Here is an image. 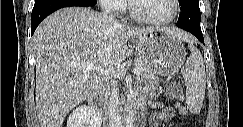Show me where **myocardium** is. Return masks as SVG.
<instances>
[{
  "label": "myocardium",
  "instance_id": "obj_1",
  "mask_svg": "<svg viewBox=\"0 0 243 127\" xmlns=\"http://www.w3.org/2000/svg\"><path fill=\"white\" fill-rule=\"evenodd\" d=\"M135 1L136 0H130L128 2V10H129L130 16L136 22L143 23V24H148V25L169 24L176 19V17L179 14V10H180L179 1L170 0V3L172 5V12L168 17L161 18V19H150V18H145L137 13L136 8H135Z\"/></svg>",
  "mask_w": 243,
  "mask_h": 127
}]
</instances>
